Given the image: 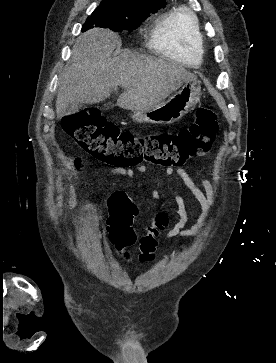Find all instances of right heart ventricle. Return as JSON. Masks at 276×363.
Wrapping results in <instances>:
<instances>
[{
	"mask_svg": "<svg viewBox=\"0 0 276 363\" xmlns=\"http://www.w3.org/2000/svg\"><path fill=\"white\" fill-rule=\"evenodd\" d=\"M150 44L159 55L192 66L201 62L203 48L195 15L178 9L160 17Z\"/></svg>",
	"mask_w": 276,
	"mask_h": 363,
	"instance_id": "e07e8e85",
	"label": "right heart ventricle"
}]
</instances>
